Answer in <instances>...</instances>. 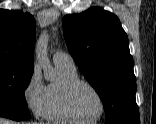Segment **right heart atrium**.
I'll return each instance as SVG.
<instances>
[{
	"instance_id": "right-heart-atrium-1",
	"label": "right heart atrium",
	"mask_w": 156,
	"mask_h": 124,
	"mask_svg": "<svg viewBox=\"0 0 156 124\" xmlns=\"http://www.w3.org/2000/svg\"><path fill=\"white\" fill-rule=\"evenodd\" d=\"M24 97L30 111L36 118H46L47 87L44 85L38 69H33L24 87Z\"/></svg>"
}]
</instances>
